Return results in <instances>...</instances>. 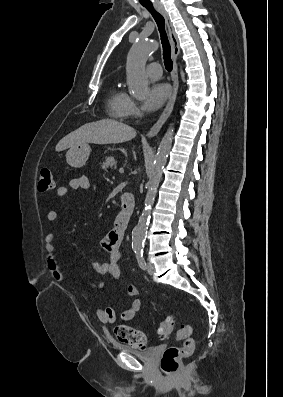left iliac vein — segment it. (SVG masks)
<instances>
[{"mask_svg":"<svg viewBox=\"0 0 283 397\" xmlns=\"http://www.w3.org/2000/svg\"><path fill=\"white\" fill-rule=\"evenodd\" d=\"M146 269H147V272H148L150 275H152V274H153V272H154V266H153V264H152V263H150V262H147Z\"/></svg>","mask_w":283,"mask_h":397,"instance_id":"left-iliac-vein-1","label":"left iliac vein"}]
</instances>
